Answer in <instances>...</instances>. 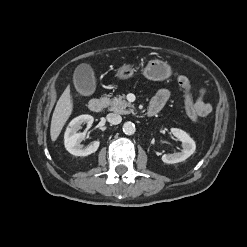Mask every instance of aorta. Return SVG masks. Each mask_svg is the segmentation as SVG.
I'll return each mask as SVG.
<instances>
[{
	"label": "aorta",
	"instance_id": "762f6f07",
	"mask_svg": "<svg viewBox=\"0 0 247 247\" xmlns=\"http://www.w3.org/2000/svg\"><path fill=\"white\" fill-rule=\"evenodd\" d=\"M136 129H135V125L132 122H125L123 125V132L126 135H133L135 133Z\"/></svg>",
	"mask_w": 247,
	"mask_h": 247
}]
</instances>
